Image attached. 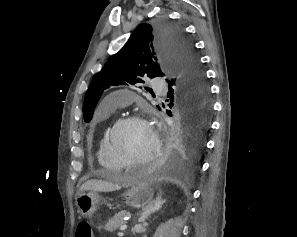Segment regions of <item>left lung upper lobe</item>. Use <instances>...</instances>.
Instances as JSON below:
<instances>
[{
    "label": "left lung upper lobe",
    "mask_w": 297,
    "mask_h": 237,
    "mask_svg": "<svg viewBox=\"0 0 297 237\" xmlns=\"http://www.w3.org/2000/svg\"><path fill=\"white\" fill-rule=\"evenodd\" d=\"M147 76L174 77L166 80L177 94L189 97L196 105L210 103L208 87L192 44L181 28L161 21L139 25L124 47L95 74L84 99V120H91L104 90L127 83L141 84Z\"/></svg>",
    "instance_id": "left-lung-upper-lobe-1"
}]
</instances>
